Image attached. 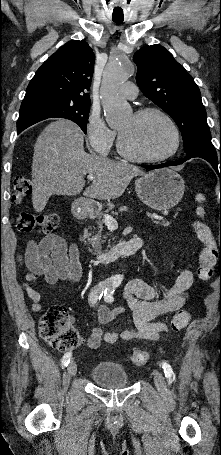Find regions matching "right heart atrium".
Instances as JSON below:
<instances>
[{"label": "right heart atrium", "mask_w": 221, "mask_h": 455, "mask_svg": "<svg viewBox=\"0 0 221 455\" xmlns=\"http://www.w3.org/2000/svg\"><path fill=\"white\" fill-rule=\"evenodd\" d=\"M87 139L92 152L107 155L116 139V132L96 113L89 116Z\"/></svg>", "instance_id": "right-heart-atrium-1"}]
</instances>
